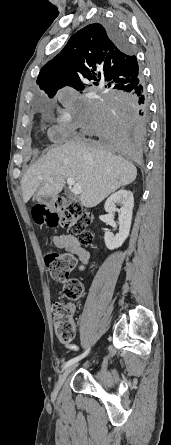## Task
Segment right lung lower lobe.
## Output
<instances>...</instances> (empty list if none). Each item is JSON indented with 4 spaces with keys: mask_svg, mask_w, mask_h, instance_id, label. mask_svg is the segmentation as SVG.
Wrapping results in <instances>:
<instances>
[{
    "mask_svg": "<svg viewBox=\"0 0 171 445\" xmlns=\"http://www.w3.org/2000/svg\"><path fill=\"white\" fill-rule=\"evenodd\" d=\"M120 48L128 46L114 23H104ZM147 97L143 81L130 91L110 92L90 103L83 114L85 133L102 148L128 160H142L147 127Z\"/></svg>",
    "mask_w": 171,
    "mask_h": 445,
    "instance_id": "98d812e1",
    "label": "right lung lower lobe"
}]
</instances>
